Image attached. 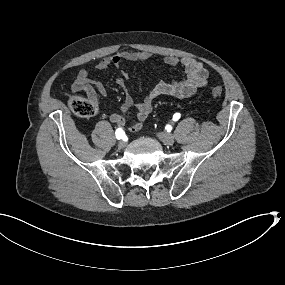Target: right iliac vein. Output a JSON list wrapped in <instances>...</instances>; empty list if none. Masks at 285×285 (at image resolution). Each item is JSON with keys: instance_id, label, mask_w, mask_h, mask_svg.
Segmentation results:
<instances>
[{"instance_id": "right-iliac-vein-1", "label": "right iliac vein", "mask_w": 285, "mask_h": 285, "mask_svg": "<svg viewBox=\"0 0 285 285\" xmlns=\"http://www.w3.org/2000/svg\"><path fill=\"white\" fill-rule=\"evenodd\" d=\"M126 145H127L126 141L121 140V141L118 143V148H119V149H123Z\"/></svg>"}]
</instances>
